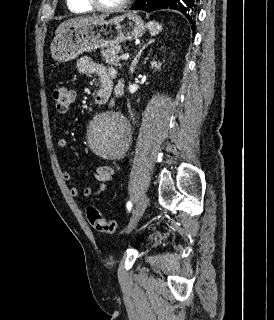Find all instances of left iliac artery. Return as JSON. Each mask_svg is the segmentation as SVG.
I'll return each mask as SVG.
<instances>
[{
	"label": "left iliac artery",
	"mask_w": 274,
	"mask_h": 320,
	"mask_svg": "<svg viewBox=\"0 0 274 320\" xmlns=\"http://www.w3.org/2000/svg\"><path fill=\"white\" fill-rule=\"evenodd\" d=\"M131 208H132V203H131V201H128V203H127V210L130 211Z\"/></svg>",
	"instance_id": "left-iliac-artery-1"
}]
</instances>
